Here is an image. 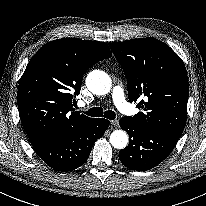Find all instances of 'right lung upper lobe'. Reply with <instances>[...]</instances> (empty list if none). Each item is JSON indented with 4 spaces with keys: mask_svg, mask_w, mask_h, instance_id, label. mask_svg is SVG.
<instances>
[{
    "mask_svg": "<svg viewBox=\"0 0 206 206\" xmlns=\"http://www.w3.org/2000/svg\"><path fill=\"white\" fill-rule=\"evenodd\" d=\"M104 42L64 38L45 44L21 77L17 104L32 145L68 136L93 118L75 111L84 73L111 57Z\"/></svg>",
    "mask_w": 206,
    "mask_h": 206,
    "instance_id": "cb5924a9",
    "label": "right lung upper lobe"
}]
</instances>
